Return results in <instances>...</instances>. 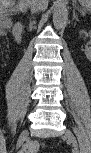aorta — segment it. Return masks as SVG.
Masks as SVG:
<instances>
[{"instance_id": "1", "label": "aorta", "mask_w": 91, "mask_h": 153, "mask_svg": "<svg viewBox=\"0 0 91 153\" xmlns=\"http://www.w3.org/2000/svg\"><path fill=\"white\" fill-rule=\"evenodd\" d=\"M67 0H56L53 10V24L56 29H61L67 20Z\"/></svg>"}]
</instances>
